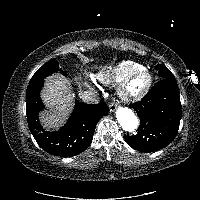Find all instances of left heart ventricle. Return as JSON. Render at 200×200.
Here are the masks:
<instances>
[{"instance_id": "left-heart-ventricle-1", "label": "left heart ventricle", "mask_w": 200, "mask_h": 200, "mask_svg": "<svg viewBox=\"0 0 200 200\" xmlns=\"http://www.w3.org/2000/svg\"><path fill=\"white\" fill-rule=\"evenodd\" d=\"M147 76L145 74H141L137 76L129 85V91L131 93L139 92L146 84Z\"/></svg>"}]
</instances>
